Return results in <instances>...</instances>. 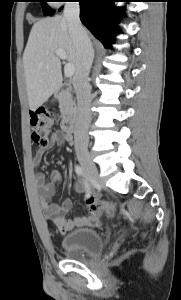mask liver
<instances>
[{
  "label": "liver",
  "instance_id": "obj_1",
  "mask_svg": "<svg viewBox=\"0 0 181 300\" xmlns=\"http://www.w3.org/2000/svg\"><path fill=\"white\" fill-rule=\"evenodd\" d=\"M66 52L68 63L76 71V49L62 16L36 22L23 54V67L29 107L36 110L60 87L61 61L56 50Z\"/></svg>",
  "mask_w": 181,
  "mask_h": 300
}]
</instances>
